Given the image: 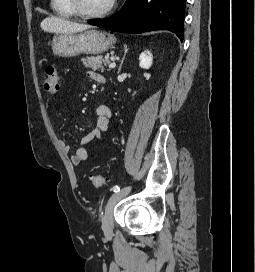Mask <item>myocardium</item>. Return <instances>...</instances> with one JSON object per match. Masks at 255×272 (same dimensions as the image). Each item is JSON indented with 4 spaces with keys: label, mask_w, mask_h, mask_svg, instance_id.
I'll use <instances>...</instances> for the list:
<instances>
[{
    "label": "myocardium",
    "mask_w": 255,
    "mask_h": 272,
    "mask_svg": "<svg viewBox=\"0 0 255 272\" xmlns=\"http://www.w3.org/2000/svg\"><path fill=\"white\" fill-rule=\"evenodd\" d=\"M70 7L72 10L75 12V14L79 17L82 18H87V19H98V18H103L109 15L115 6V0H111L107 8L100 12H88L83 9L81 0H68Z\"/></svg>",
    "instance_id": "f54148a6"
}]
</instances>
